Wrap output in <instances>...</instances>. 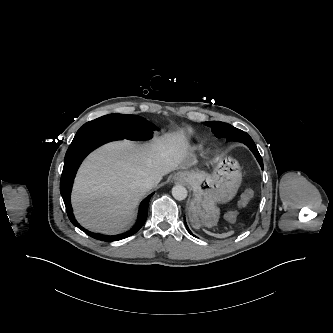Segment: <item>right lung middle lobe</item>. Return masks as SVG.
<instances>
[{
	"label": "right lung middle lobe",
	"mask_w": 333,
	"mask_h": 333,
	"mask_svg": "<svg viewBox=\"0 0 333 333\" xmlns=\"http://www.w3.org/2000/svg\"><path fill=\"white\" fill-rule=\"evenodd\" d=\"M155 125L136 115L110 114L84 124L76 135L91 130L105 131L129 140H146L152 137Z\"/></svg>",
	"instance_id": "right-lung-middle-lobe-1"
}]
</instances>
